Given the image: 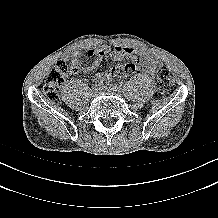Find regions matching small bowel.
<instances>
[{"label":"small bowel","mask_w":218,"mask_h":218,"mask_svg":"<svg viewBox=\"0 0 218 218\" xmlns=\"http://www.w3.org/2000/svg\"><path fill=\"white\" fill-rule=\"evenodd\" d=\"M111 53L115 60H127L123 66V73L118 76L120 78L126 77L132 74L135 70L139 69L149 75H154L157 71L159 60L152 53L145 50H135L130 47L101 45L95 48L86 50L85 52L75 51L66 56V60H70V70L72 73H90L94 66H97L101 60ZM86 55L88 58H95L93 66H81V57ZM101 77L96 75L95 78Z\"/></svg>","instance_id":"1"}]
</instances>
